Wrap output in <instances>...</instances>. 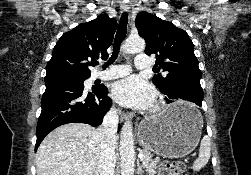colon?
<instances>
[{"instance_id":"colon-1","label":"colon","mask_w":251,"mask_h":175,"mask_svg":"<svg viewBox=\"0 0 251 175\" xmlns=\"http://www.w3.org/2000/svg\"><path fill=\"white\" fill-rule=\"evenodd\" d=\"M187 170L182 161H164L158 167L159 175H187Z\"/></svg>"}]
</instances>
